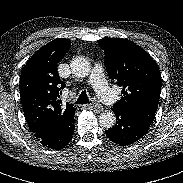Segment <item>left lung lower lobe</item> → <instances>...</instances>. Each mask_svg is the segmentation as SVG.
Returning <instances> with one entry per match:
<instances>
[{
	"instance_id": "left-lung-lower-lobe-1",
	"label": "left lung lower lobe",
	"mask_w": 183,
	"mask_h": 183,
	"mask_svg": "<svg viewBox=\"0 0 183 183\" xmlns=\"http://www.w3.org/2000/svg\"><path fill=\"white\" fill-rule=\"evenodd\" d=\"M116 124L105 131L106 136L119 145H129L140 140L148 131L151 122L137 115L114 110Z\"/></svg>"
}]
</instances>
